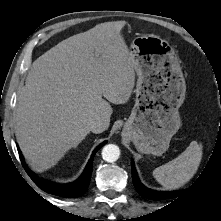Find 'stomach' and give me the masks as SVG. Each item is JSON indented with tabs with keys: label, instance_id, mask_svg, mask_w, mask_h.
Listing matches in <instances>:
<instances>
[{
	"label": "stomach",
	"instance_id": "stomach-1",
	"mask_svg": "<svg viewBox=\"0 0 221 221\" xmlns=\"http://www.w3.org/2000/svg\"><path fill=\"white\" fill-rule=\"evenodd\" d=\"M130 54L138 76L135 105L122 135L144 154L160 156L181 126L186 84L173 47L158 36H138Z\"/></svg>",
	"mask_w": 221,
	"mask_h": 221
}]
</instances>
